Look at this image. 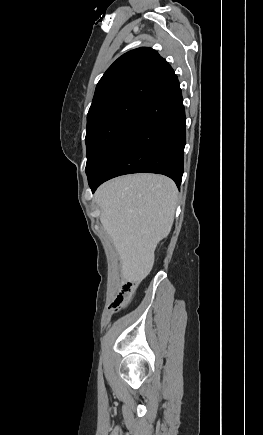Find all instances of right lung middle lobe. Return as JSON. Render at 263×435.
<instances>
[{"label":"right lung middle lobe","instance_id":"1","mask_svg":"<svg viewBox=\"0 0 263 435\" xmlns=\"http://www.w3.org/2000/svg\"><path fill=\"white\" fill-rule=\"evenodd\" d=\"M143 103L120 101L102 105L87 116L86 146L88 180L101 164Z\"/></svg>","mask_w":263,"mask_h":435}]
</instances>
